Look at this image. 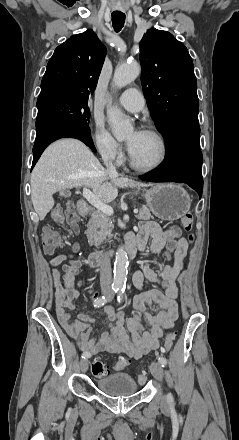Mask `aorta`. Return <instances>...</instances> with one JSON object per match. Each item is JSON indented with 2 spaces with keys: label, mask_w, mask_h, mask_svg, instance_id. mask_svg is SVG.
Here are the masks:
<instances>
[{
  "label": "aorta",
  "mask_w": 239,
  "mask_h": 440,
  "mask_svg": "<svg viewBox=\"0 0 239 440\" xmlns=\"http://www.w3.org/2000/svg\"><path fill=\"white\" fill-rule=\"evenodd\" d=\"M139 74L140 66L138 64H121V66H117L114 72L113 84L115 88H124V86L134 82ZM107 116L109 124L112 126V134L118 142L126 140L128 134H132L134 128L131 120L124 116L119 108H116V106L107 108ZM128 266V256L124 248H118L114 262L113 286L119 288V290H122L125 282H127Z\"/></svg>",
  "instance_id": "obj_1"
}]
</instances>
